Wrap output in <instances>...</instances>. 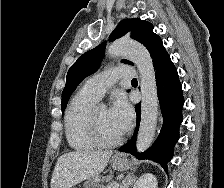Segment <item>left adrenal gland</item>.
<instances>
[{
	"mask_svg": "<svg viewBox=\"0 0 224 188\" xmlns=\"http://www.w3.org/2000/svg\"><path fill=\"white\" fill-rule=\"evenodd\" d=\"M136 180V176L133 173H128V175L122 180L119 188H129Z\"/></svg>",
	"mask_w": 224,
	"mask_h": 188,
	"instance_id": "a2214340",
	"label": "left adrenal gland"
}]
</instances>
